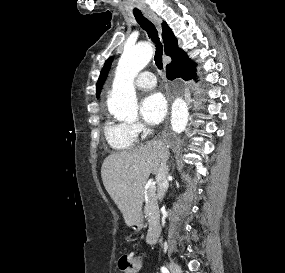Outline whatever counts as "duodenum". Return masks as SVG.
<instances>
[{
	"instance_id": "1",
	"label": "duodenum",
	"mask_w": 285,
	"mask_h": 273,
	"mask_svg": "<svg viewBox=\"0 0 285 273\" xmlns=\"http://www.w3.org/2000/svg\"><path fill=\"white\" fill-rule=\"evenodd\" d=\"M160 232H161L160 223L157 220H154L151 224L149 232L147 233L146 242L149 245L154 244L156 242Z\"/></svg>"
}]
</instances>
